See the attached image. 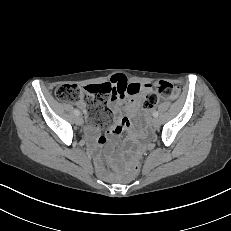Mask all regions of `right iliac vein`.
Here are the masks:
<instances>
[{
	"instance_id": "1",
	"label": "right iliac vein",
	"mask_w": 231,
	"mask_h": 231,
	"mask_svg": "<svg viewBox=\"0 0 231 231\" xmlns=\"http://www.w3.org/2000/svg\"><path fill=\"white\" fill-rule=\"evenodd\" d=\"M77 125L81 126L83 124V118L81 116H77L75 119Z\"/></svg>"
}]
</instances>
